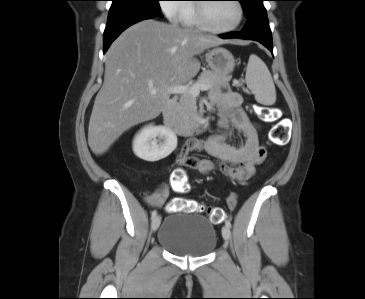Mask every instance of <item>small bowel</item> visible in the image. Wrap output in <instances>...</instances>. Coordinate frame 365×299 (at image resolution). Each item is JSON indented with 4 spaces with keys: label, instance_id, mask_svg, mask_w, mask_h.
<instances>
[{
    "label": "small bowel",
    "instance_id": "small-bowel-1",
    "mask_svg": "<svg viewBox=\"0 0 365 299\" xmlns=\"http://www.w3.org/2000/svg\"><path fill=\"white\" fill-rule=\"evenodd\" d=\"M211 101L221 108L219 131L208 138L189 139L182 148L179 163L197 169L203 174L218 168L229 179L243 183L250 179L255 169L267 156L266 148L260 144L257 126L247 117L241 108L242 97L239 93L225 89L214 90ZM233 127L244 134L246 140L242 146L234 147L224 142L225 131ZM193 151H204L218 160L216 165L208 159L189 157ZM169 196L167 187L160 188L147 196L152 206H161Z\"/></svg>",
    "mask_w": 365,
    "mask_h": 299
}]
</instances>
